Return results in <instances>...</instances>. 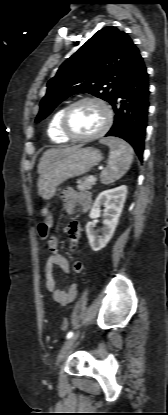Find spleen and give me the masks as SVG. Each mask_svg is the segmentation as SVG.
<instances>
[{
	"label": "spleen",
	"instance_id": "obj_1",
	"mask_svg": "<svg viewBox=\"0 0 168 415\" xmlns=\"http://www.w3.org/2000/svg\"><path fill=\"white\" fill-rule=\"evenodd\" d=\"M100 142L110 148L108 166L100 174L101 183L108 185L120 179L129 170L133 160V149L118 138H105Z\"/></svg>",
	"mask_w": 168,
	"mask_h": 415
}]
</instances>
